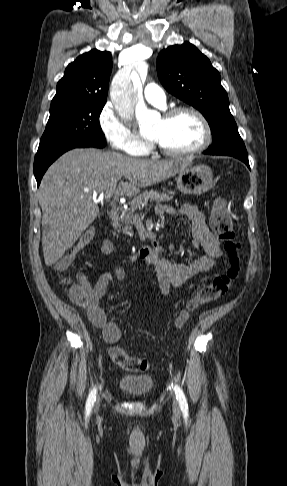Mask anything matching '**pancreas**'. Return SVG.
<instances>
[{
  "mask_svg": "<svg viewBox=\"0 0 287 486\" xmlns=\"http://www.w3.org/2000/svg\"><path fill=\"white\" fill-rule=\"evenodd\" d=\"M173 199L172 196L166 195L164 193H160L158 191H144L143 193L139 194L138 196L134 197V199L129 203L130 207L128 209H124L121 212V221L124 222V227L122 231L124 234L132 235V223L135 217V213L138 209H141L144 205L150 202H168ZM113 226L116 229H120L121 224L119 222L113 223Z\"/></svg>",
  "mask_w": 287,
  "mask_h": 486,
  "instance_id": "pancreas-1",
  "label": "pancreas"
}]
</instances>
